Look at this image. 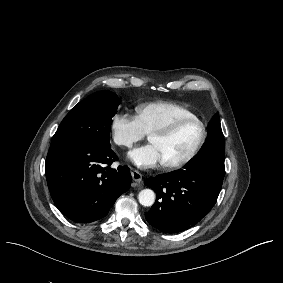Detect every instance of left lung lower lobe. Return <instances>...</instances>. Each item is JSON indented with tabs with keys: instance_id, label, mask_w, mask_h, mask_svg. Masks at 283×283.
Returning <instances> with one entry per match:
<instances>
[{
	"instance_id": "1",
	"label": "left lung lower lobe",
	"mask_w": 283,
	"mask_h": 283,
	"mask_svg": "<svg viewBox=\"0 0 283 283\" xmlns=\"http://www.w3.org/2000/svg\"><path fill=\"white\" fill-rule=\"evenodd\" d=\"M197 154L183 170L151 177L156 201L145 212L147 222L164 233H178L197 224L214 206L220 193L224 156L215 148Z\"/></svg>"
}]
</instances>
